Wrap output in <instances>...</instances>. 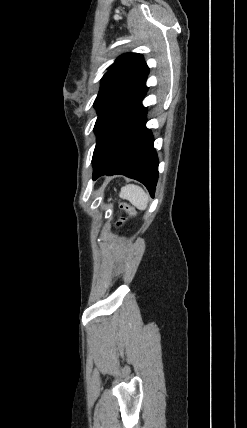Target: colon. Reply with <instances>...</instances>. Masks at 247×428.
Masks as SVG:
<instances>
[{
	"label": "colon",
	"instance_id": "5ec220e1",
	"mask_svg": "<svg viewBox=\"0 0 247 428\" xmlns=\"http://www.w3.org/2000/svg\"><path fill=\"white\" fill-rule=\"evenodd\" d=\"M135 214L134 209L126 202H119V218L117 225L121 226L129 217Z\"/></svg>",
	"mask_w": 247,
	"mask_h": 428
}]
</instances>
